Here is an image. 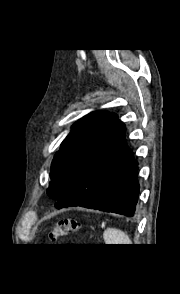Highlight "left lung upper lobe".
Segmentation results:
<instances>
[{
	"label": "left lung upper lobe",
	"instance_id": "5c2ea615",
	"mask_svg": "<svg viewBox=\"0 0 180 294\" xmlns=\"http://www.w3.org/2000/svg\"><path fill=\"white\" fill-rule=\"evenodd\" d=\"M118 123V116L106 111L89 113L74 123L52 161L49 197L60 200L66 196Z\"/></svg>",
	"mask_w": 180,
	"mask_h": 294
}]
</instances>
